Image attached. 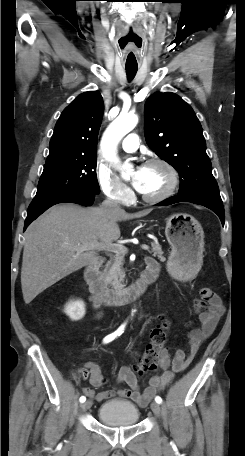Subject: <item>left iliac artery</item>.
Listing matches in <instances>:
<instances>
[{
	"label": "left iliac artery",
	"mask_w": 245,
	"mask_h": 456,
	"mask_svg": "<svg viewBox=\"0 0 245 456\" xmlns=\"http://www.w3.org/2000/svg\"><path fill=\"white\" fill-rule=\"evenodd\" d=\"M155 401L158 403V404H161L162 403V398L160 396H156L155 397Z\"/></svg>",
	"instance_id": "obj_1"
}]
</instances>
